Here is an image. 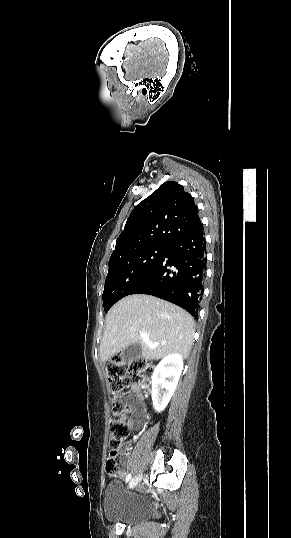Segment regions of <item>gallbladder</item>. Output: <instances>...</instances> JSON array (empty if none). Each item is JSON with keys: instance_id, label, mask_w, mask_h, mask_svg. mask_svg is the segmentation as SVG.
Returning <instances> with one entry per match:
<instances>
[{"instance_id": "bac80fb5", "label": "gallbladder", "mask_w": 291, "mask_h": 538, "mask_svg": "<svg viewBox=\"0 0 291 538\" xmlns=\"http://www.w3.org/2000/svg\"><path fill=\"white\" fill-rule=\"evenodd\" d=\"M122 359L124 362L128 363L133 359H138L141 356V346L139 343H135L127 347L122 351Z\"/></svg>"}]
</instances>
